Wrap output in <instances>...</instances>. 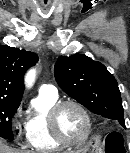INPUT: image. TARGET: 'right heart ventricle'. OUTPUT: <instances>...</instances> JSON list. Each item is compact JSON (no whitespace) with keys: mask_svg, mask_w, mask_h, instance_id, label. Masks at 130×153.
I'll use <instances>...</instances> for the list:
<instances>
[{"mask_svg":"<svg viewBox=\"0 0 130 153\" xmlns=\"http://www.w3.org/2000/svg\"><path fill=\"white\" fill-rule=\"evenodd\" d=\"M58 102V95L40 94L26 122V140L29 147L36 152H51L62 147L52 137L48 127V113Z\"/></svg>","mask_w":130,"mask_h":153,"instance_id":"obj_1","label":"right heart ventricle"}]
</instances>
